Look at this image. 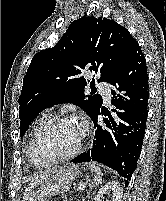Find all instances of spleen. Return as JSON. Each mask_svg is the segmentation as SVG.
I'll use <instances>...</instances> for the list:
<instances>
[{"instance_id": "1", "label": "spleen", "mask_w": 166, "mask_h": 201, "mask_svg": "<svg viewBox=\"0 0 166 201\" xmlns=\"http://www.w3.org/2000/svg\"><path fill=\"white\" fill-rule=\"evenodd\" d=\"M89 168L96 173V176L94 177L93 183H95L96 185L101 184L102 183V176H103L101 169L98 166H96V164H94V163L89 164Z\"/></svg>"}]
</instances>
